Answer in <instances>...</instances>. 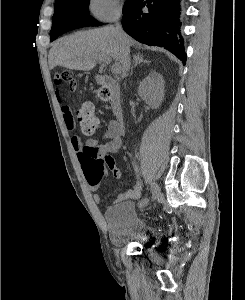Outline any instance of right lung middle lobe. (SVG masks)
Masks as SVG:
<instances>
[{"label": "right lung middle lobe", "mask_w": 245, "mask_h": 300, "mask_svg": "<svg viewBox=\"0 0 245 300\" xmlns=\"http://www.w3.org/2000/svg\"><path fill=\"white\" fill-rule=\"evenodd\" d=\"M135 0H127L123 11L134 4ZM89 0H57L54 7L53 24L50 32V40L58 37L56 24L60 20L76 21L86 26L102 25L89 15Z\"/></svg>", "instance_id": "1"}]
</instances>
